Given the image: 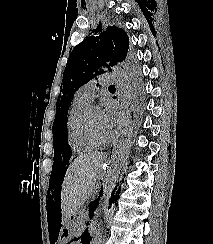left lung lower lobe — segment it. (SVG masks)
<instances>
[{
	"instance_id": "0a47b994",
	"label": "left lung lower lobe",
	"mask_w": 213,
	"mask_h": 244,
	"mask_svg": "<svg viewBox=\"0 0 213 244\" xmlns=\"http://www.w3.org/2000/svg\"><path fill=\"white\" fill-rule=\"evenodd\" d=\"M139 114H140V111L138 109V111H136V115L139 116ZM132 117H133V112H132ZM101 190H102V188H101ZM113 194H114V191L112 193V197H113ZM100 195H101V193H100ZM99 198H100V196L95 201L91 202V204H90V216L93 214V211L97 208L98 203H99ZM111 203H112V201H110V204Z\"/></svg>"
}]
</instances>
